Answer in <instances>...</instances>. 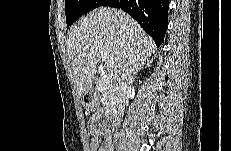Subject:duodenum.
Here are the masks:
<instances>
[{
	"label": "duodenum",
	"instance_id": "obj_1",
	"mask_svg": "<svg viewBox=\"0 0 231 151\" xmlns=\"http://www.w3.org/2000/svg\"><path fill=\"white\" fill-rule=\"evenodd\" d=\"M91 97L89 96L88 98V103H91ZM119 116H120V113L118 110L116 109H111L109 110V112L107 113V119L110 121V122H115L119 119ZM110 141V140H109Z\"/></svg>",
	"mask_w": 231,
	"mask_h": 151
}]
</instances>
